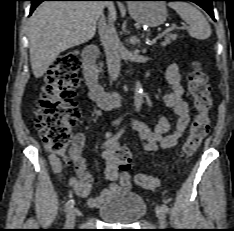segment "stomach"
<instances>
[{"instance_id":"1","label":"stomach","mask_w":234,"mask_h":231,"mask_svg":"<svg viewBox=\"0 0 234 231\" xmlns=\"http://www.w3.org/2000/svg\"><path fill=\"white\" fill-rule=\"evenodd\" d=\"M129 12L136 22L148 27L162 25L168 16L165 3L159 1L134 2Z\"/></svg>"}]
</instances>
